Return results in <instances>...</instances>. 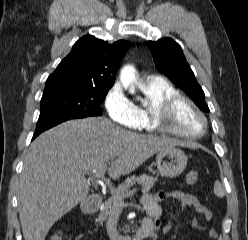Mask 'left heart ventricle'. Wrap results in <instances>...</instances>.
I'll list each match as a JSON object with an SVG mask.
<instances>
[{
    "mask_svg": "<svg viewBox=\"0 0 248 240\" xmlns=\"http://www.w3.org/2000/svg\"><path fill=\"white\" fill-rule=\"evenodd\" d=\"M171 126L185 133L196 134L203 130L204 123L189 104L181 102L174 110Z\"/></svg>",
    "mask_w": 248,
    "mask_h": 240,
    "instance_id": "left-heart-ventricle-1",
    "label": "left heart ventricle"
}]
</instances>
